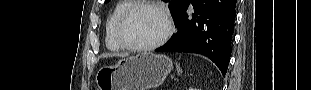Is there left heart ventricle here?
Segmentation results:
<instances>
[{
  "instance_id": "obj_1",
  "label": "left heart ventricle",
  "mask_w": 311,
  "mask_h": 90,
  "mask_svg": "<svg viewBox=\"0 0 311 90\" xmlns=\"http://www.w3.org/2000/svg\"><path fill=\"white\" fill-rule=\"evenodd\" d=\"M166 30L163 17L150 8L135 11L123 26L124 39L135 46L149 45L159 40Z\"/></svg>"
}]
</instances>
